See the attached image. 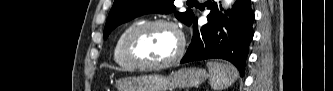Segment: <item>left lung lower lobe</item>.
<instances>
[{
	"instance_id": "1",
	"label": "left lung lower lobe",
	"mask_w": 333,
	"mask_h": 91,
	"mask_svg": "<svg viewBox=\"0 0 333 91\" xmlns=\"http://www.w3.org/2000/svg\"><path fill=\"white\" fill-rule=\"evenodd\" d=\"M206 6L211 9L208 23L198 30L197 19L193 20V38L181 63L221 58L233 63L243 76L255 18L250 0H237L226 15L219 12L216 1L209 0Z\"/></svg>"
}]
</instances>
